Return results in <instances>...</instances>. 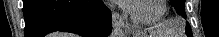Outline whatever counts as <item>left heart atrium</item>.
I'll list each match as a JSON object with an SVG mask.
<instances>
[{"label": "left heart atrium", "instance_id": "1", "mask_svg": "<svg viewBox=\"0 0 219 37\" xmlns=\"http://www.w3.org/2000/svg\"><path fill=\"white\" fill-rule=\"evenodd\" d=\"M121 4H123L127 9L129 7H133L135 1L134 0H121L119 1Z\"/></svg>", "mask_w": 219, "mask_h": 37}]
</instances>
